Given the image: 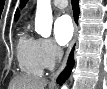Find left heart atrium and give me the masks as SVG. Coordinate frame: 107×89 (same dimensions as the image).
Segmentation results:
<instances>
[{
    "mask_svg": "<svg viewBox=\"0 0 107 89\" xmlns=\"http://www.w3.org/2000/svg\"><path fill=\"white\" fill-rule=\"evenodd\" d=\"M73 32L72 20L68 15H61L55 20L54 36L59 45L68 44L73 37Z\"/></svg>",
    "mask_w": 107,
    "mask_h": 89,
    "instance_id": "left-heart-atrium-1",
    "label": "left heart atrium"
}]
</instances>
